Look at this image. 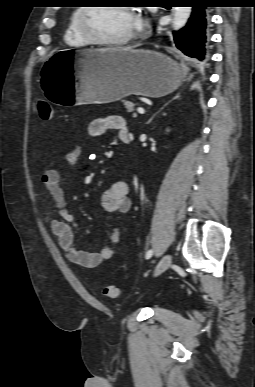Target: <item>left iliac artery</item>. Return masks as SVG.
Returning <instances> with one entry per match:
<instances>
[{
	"mask_svg": "<svg viewBox=\"0 0 255 387\" xmlns=\"http://www.w3.org/2000/svg\"><path fill=\"white\" fill-rule=\"evenodd\" d=\"M152 254H153V251L152 250H148L146 252V255H145L146 259H149L152 256Z\"/></svg>",
	"mask_w": 255,
	"mask_h": 387,
	"instance_id": "1",
	"label": "left iliac artery"
}]
</instances>
